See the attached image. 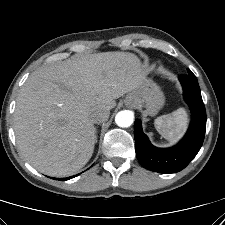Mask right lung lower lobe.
Returning <instances> with one entry per match:
<instances>
[{"mask_svg":"<svg viewBox=\"0 0 225 225\" xmlns=\"http://www.w3.org/2000/svg\"><path fill=\"white\" fill-rule=\"evenodd\" d=\"M75 176H77V175H75ZM75 176H73V177H75ZM73 177H68V178H61V179H58V180H62V181H64V180H68V179H71V178H73Z\"/></svg>","mask_w":225,"mask_h":225,"instance_id":"obj_1","label":"right lung lower lobe"}]
</instances>
